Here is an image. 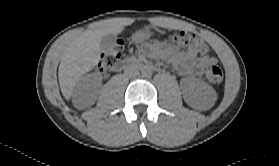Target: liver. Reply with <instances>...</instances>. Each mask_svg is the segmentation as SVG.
<instances>
[{"instance_id":"liver-1","label":"liver","mask_w":279,"mask_h":166,"mask_svg":"<svg viewBox=\"0 0 279 166\" xmlns=\"http://www.w3.org/2000/svg\"><path fill=\"white\" fill-rule=\"evenodd\" d=\"M124 26L119 18L108 19L100 28L84 31L67 45L58 69L59 85L66 99L72 96L73 89L81 77L100 61L102 37L110 33L118 35L124 30Z\"/></svg>"}]
</instances>
